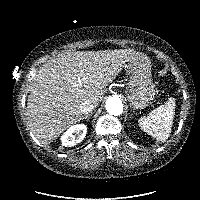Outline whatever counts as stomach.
<instances>
[{"label":"stomach","instance_id":"obj_1","mask_svg":"<svg viewBox=\"0 0 200 200\" xmlns=\"http://www.w3.org/2000/svg\"><path fill=\"white\" fill-rule=\"evenodd\" d=\"M126 68L130 75L125 91L127 98L134 109H143L156 94L151 79L150 60L144 54L138 53L127 62Z\"/></svg>","mask_w":200,"mask_h":200}]
</instances>
